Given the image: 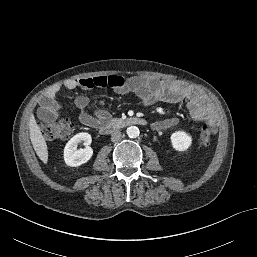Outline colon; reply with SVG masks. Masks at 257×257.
<instances>
[{
    "label": "colon",
    "mask_w": 257,
    "mask_h": 257,
    "mask_svg": "<svg viewBox=\"0 0 257 257\" xmlns=\"http://www.w3.org/2000/svg\"><path fill=\"white\" fill-rule=\"evenodd\" d=\"M42 134L47 140L61 141L68 139L73 134V125L68 119H60L41 124ZM212 135V127L209 122L204 121L201 124V135L198 143L205 147L209 145Z\"/></svg>",
    "instance_id": "5ec220e1"
}]
</instances>
